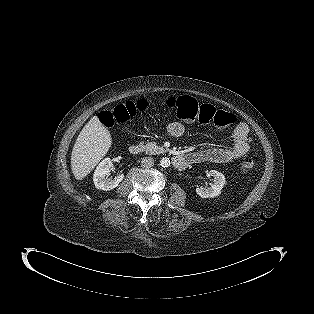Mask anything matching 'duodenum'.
Returning <instances> with one entry per match:
<instances>
[{
  "mask_svg": "<svg viewBox=\"0 0 314 314\" xmlns=\"http://www.w3.org/2000/svg\"><path fill=\"white\" fill-rule=\"evenodd\" d=\"M142 145L141 144H132L129 147V152L132 155H138L142 152ZM191 162V159L187 155H176L172 158L173 166L177 170H182L187 167V165Z\"/></svg>",
  "mask_w": 314,
  "mask_h": 314,
  "instance_id": "obj_1",
  "label": "duodenum"
}]
</instances>
